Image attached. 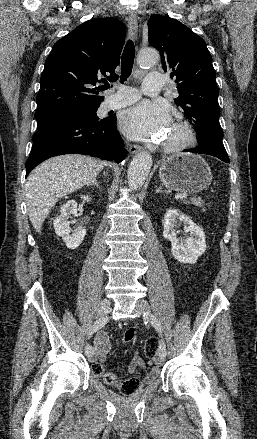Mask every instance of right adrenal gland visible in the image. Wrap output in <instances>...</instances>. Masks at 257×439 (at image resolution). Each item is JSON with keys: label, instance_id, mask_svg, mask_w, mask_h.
Returning a JSON list of instances; mask_svg holds the SVG:
<instances>
[{"label": "right adrenal gland", "instance_id": "obj_1", "mask_svg": "<svg viewBox=\"0 0 257 439\" xmlns=\"http://www.w3.org/2000/svg\"><path fill=\"white\" fill-rule=\"evenodd\" d=\"M89 185L91 186H96L97 188H99V182L95 179L94 182L90 183Z\"/></svg>", "mask_w": 257, "mask_h": 439}]
</instances>
